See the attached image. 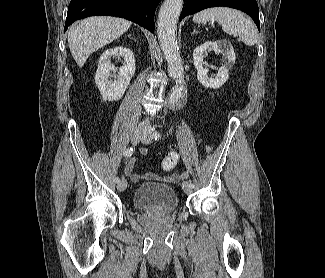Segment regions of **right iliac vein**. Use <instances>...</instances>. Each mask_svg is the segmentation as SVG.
Returning <instances> with one entry per match:
<instances>
[{"instance_id": "63e3f726", "label": "right iliac vein", "mask_w": 325, "mask_h": 278, "mask_svg": "<svg viewBox=\"0 0 325 278\" xmlns=\"http://www.w3.org/2000/svg\"><path fill=\"white\" fill-rule=\"evenodd\" d=\"M144 129L143 128H137L133 134H132V137H131V142L133 144H136L138 143V141L142 138V136L144 135ZM118 190L120 191H124L126 188H127V181L125 179H122L118 186H117Z\"/></svg>"}]
</instances>
